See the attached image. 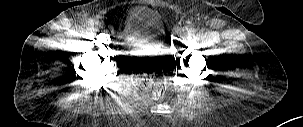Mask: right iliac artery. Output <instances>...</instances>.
I'll list each match as a JSON object with an SVG mask.
<instances>
[{
    "label": "right iliac artery",
    "mask_w": 303,
    "mask_h": 127,
    "mask_svg": "<svg viewBox=\"0 0 303 127\" xmlns=\"http://www.w3.org/2000/svg\"><path fill=\"white\" fill-rule=\"evenodd\" d=\"M88 23L89 25L94 26L96 25L97 21L95 19H89Z\"/></svg>",
    "instance_id": "1"
}]
</instances>
